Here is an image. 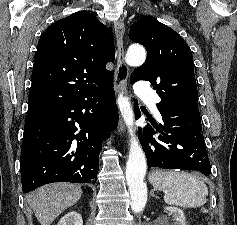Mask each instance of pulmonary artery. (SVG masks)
<instances>
[{
  "label": "pulmonary artery",
  "instance_id": "1",
  "mask_svg": "<svg viewBox=\"0 0 237 225\" xmlns=\"http://www.w3.org/2000/svg\"><path fill=\"white\" fill-rule=\"evenodd\" d=\"M134 92L143 101L149 103L151 107L154 109L156 108V104L159 102V97L151 91L146 83H138L134 88Z\"/></svg>",
  "mask_w": 237,
  "mask_h": 225
}]
</instances>
